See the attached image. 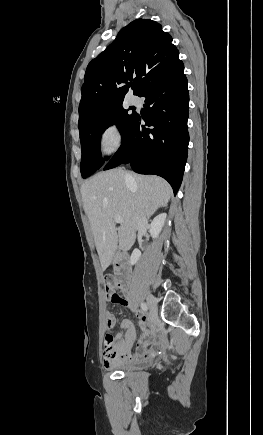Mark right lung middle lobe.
I'll return each mask as SVG.
<instances>
[{"mask_svg": "<svg viewBox=\"0 0 263 435\" xmlns=\"http://www.w3.org/2000/svg\"><path fill=\"white\" fill-rule=\"evenodd\" d=\"M136 115V112L128 114V110L123 108L121 102L105 110L91 123L79 128L82 148L80 170L83 178L92 175L104 163L100 151V141L104 131L110 125L116 124L122 138H124L132 126Z\"/></svg>", "mask_w": 263, "mask_h": 435, "instance_id": "1", "label": "right lung middle lobe"}]
</instances>
